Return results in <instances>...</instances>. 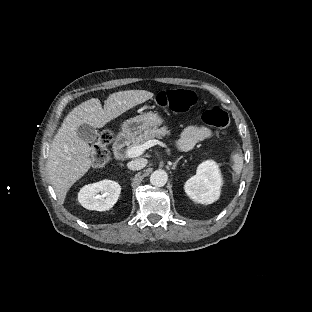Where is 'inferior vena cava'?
Wrapping results in <instances>:
<instances>
[{"label": "inferior vena cava", "mask_w": 312, "mask_h": 312, "mask_svg": "<svg viewBox=\"0 0 312 312\" xmlns=\"http://www.w3.org/2000/svg\"><path fill=\"white\" fill-rule=\"evenodd\" d=\"M146 164H147V161L145 159H135V160L128 162L127 167L130 170L137 171V170L144 168Z\"/></svg>", "instance_id": "inferior-vena-cava-1"}]
</instances>
